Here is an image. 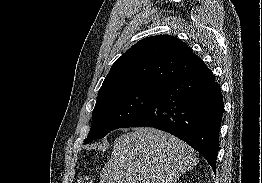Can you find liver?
Listing matches in <instances>:
<instances>
[{
	"label": "liver",
	"instance_id": "liver-1",
	"mask_svg": "<svg viewBox=\"0 0 262 183\" xmlns=\"http://www.w3.org/2000/svg\"><path fill=\"white\" fill-rule=\"evenodd\" d=\"M198 163L187 143L164 131L136 128L116 138L101 183H176Z\"/></svg>",
	"mask_w": 262,
	"mask_h": 183
}]
</instances>
